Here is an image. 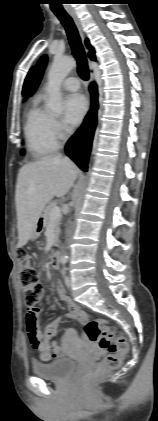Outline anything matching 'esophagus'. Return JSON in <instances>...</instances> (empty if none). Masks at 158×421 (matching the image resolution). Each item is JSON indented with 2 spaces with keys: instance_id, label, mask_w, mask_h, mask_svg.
Instances as JSON below:
<instances>
[{
  "instance_id": "34e87169",
  "label": "esophagus",
  "mask_w": 158,
  "mask_h": 421,
  "mask_svg": "<svg viewBox=\"0 0 158 421\" xmlns=\"http://www.w3.org/2000/svg\"><path fill=\"white\" fill-rule=\"evenodd\" d=\"M69 15L73 19V21H74V23H75V25H76V27L78 29V32H79V35L81 37L82 42H84L85 35H84L83 29H82V25H81L80 19L77 17V15H76V13L74 11H70L69 12ZM85 50L87 52V49L86 48H85ZM89 63H90V60H89ZM89 71H90V81H92L93 80V77H94V72H93V70L91 68H90Z\"/></svg>"
}]
</instances>
